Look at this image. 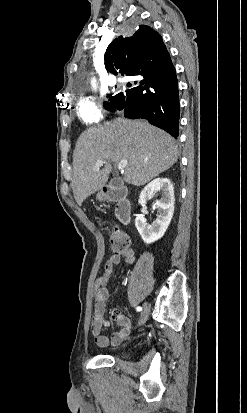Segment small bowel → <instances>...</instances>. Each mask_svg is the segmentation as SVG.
<instances>
[{
	"instance_id": "obj_1",
	"label": "small bowel",
	"mask_w": 247,
	"mask_h": 413,
	"mask_svg": "<svg viewBox=\"0 0 247 413\" xmlns=\"http://www.w3.org/2000/svg\"><path fill=\"white\" fill-rule=\"evenodd\" d=\"M135 258V251L133 248H128L120 253H112L106 263L102 275L97 279L96 289L94 294V312L91 323V330L94 336V341L99 347H106L111 343L112 345H119L123 339L129 334L130 321L126 317L125 310H118L111 308L110 314L122 329L112 335L111 339L102 333L104 326L108 325V320L105 317L106 303L110 296L108 284L114 272V267L122 259L128 263H133Z\"/></svg>"
}]
</instances>
